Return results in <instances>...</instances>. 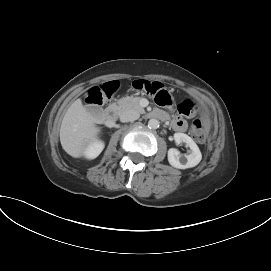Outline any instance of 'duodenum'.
Segmentation results:
<instances>
[{
  "instance_id": "410a0bca",
  "label": "duodenum",
  "mask_w": 271,
  "mask_h": 271,
  "mask_svg": "<svg viewBox=\"0 0 271 271\" xmlns=\"http://www.w3.org/2000/svg\"><path fill=\"white\" fill-rule=\"evenodd\" d=\"M155 116L161 117L160 114L154 113ZM117 118V109L114 106H109L108 108L105 109L103 113V120L107 125H112L114 124L115 120Z\"/></svg>"
}]
</instances>
